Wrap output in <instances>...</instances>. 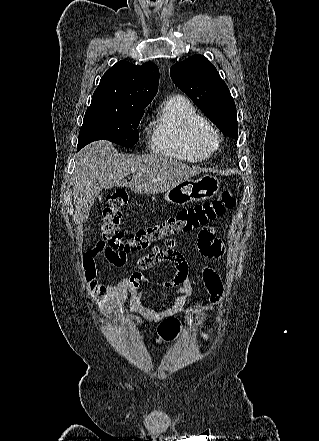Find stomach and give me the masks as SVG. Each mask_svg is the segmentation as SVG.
Masks as SVG:
<instances>
[{"instance_id": "stomach-1", "label": "stomach", "mask_w": 319, "mask_h": 441, "mask_svg": "<svg viewBox=\"0 0 319 441\" xmlns=\"http://www.w3.org/2000/svg\"><path fill=\"white\" fill-rule=\"evenodd\" d=\"M220 181L216 176L205 174L196 180L187 179L169 189L164 199L178 206H184L193 201H204L217 194Z\"/></svg>"}]
</instances>
